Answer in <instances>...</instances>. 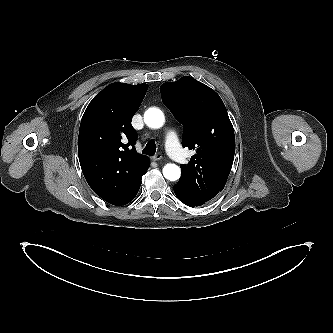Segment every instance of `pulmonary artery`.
<instances>
[{
    "label": "pulmonary artery",
    "mask_w": 333,
    "mask_h": 333,
    "mask_svg": "<svg viewBox=\"0 0 333 333\" xmlns=\"http://www.w3.org/2000/svg\"><path fill=\"white\" fill-rule=\"evenodd\" d=\"M165 146L170 156L178 162L184 161V154L179 138L174 130H168L165 136Z\"/></svg>",
    "instance_id": "1"
}]
</instances>
